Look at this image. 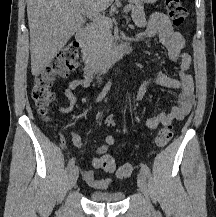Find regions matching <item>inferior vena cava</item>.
Masks as SVG:
<instances>
[{
	"label": "inferior vena cava",
	"mask_w": 216,
	"mask_h": 217,
	"mask_svg": "<svg viewBox=\"0 0 216 217\" xmlns=\"http://www.w3.org/2000/svg\"><path fill=\"white\" fill-rule=\"evenodd\" d=\"M100 80H101V79H100V78H98V81H99V82H100Z\"/></svg>",
	"instance_id": "obj_1"
}]
</instances>
